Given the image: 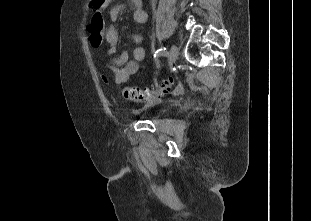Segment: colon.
I'll return each mask as SVG.
<instances>
[{"label": "colon", "mask_w": 311, "mask_h": 221, "mask_svg": "<svg viewBox=\"0 0 311 221\" xmlns=\"http://www.w3.org/2000/svg\"><path fill=\"white\" fill-rule=\"evenodd\" d=\"M104 21L101 13H96L89 24L90 43L94 47H98L104 36ZM175 85L173 78H167L153 87H122L121 95L130 101L152 103L158 97L170 93Z\"/></svg>", "instance_id": "5ec220e1"}]
</instances>
